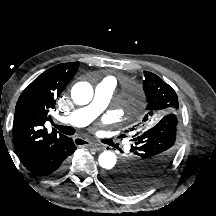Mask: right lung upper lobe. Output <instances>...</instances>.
I'll use <instances>...</instances> for the list:
<instances>
[{
  "mask_svg": "<svg viewBox=\"0 0 216 216\" xmlns=\"http://www.w3.org/2000/svg\"><path fill=\"white\" fill-rule=\"evenodd\" d=\"M79 62L58 64L38 76L21 94L15 108L13 134L17 154L24 166L66 136L48 132L44 124L56 98L76 74Z\"/></svg>",
  "mask_w": 216,
  "mask_h": 216,
  "instance_id": "obj_1",
  "label": "right lung upper lobe"
}]
</instances>
